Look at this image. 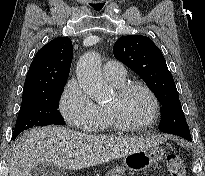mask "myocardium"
I'll return each instance as SVG.
<instances>
[{
  "instance_id": "obj_1",
  "label": "myocardium",
  "mask_w": 205,
  "mask_h": 176,
  "mask_svg": "<svg viewBox=\"0 0 205 176\" xmlns=\"http://www.w3.org/2000/svg\"><path fill=\"white\" fill-rule=\"evenodd\" d=\"M135 90H141L145 92L150 98V101L152 103L151 115L147 121L138 123V124H133V123L127 122L123 118L119 108L116 105L108 106V111L113 119L116 129L118 130H121V131L141 130V129L152 126L158 119L159 110H160L159 101H158L156 94L147 85L140 83V82L126 83L116 90V97L118 100L122 99Z\"/></svg>"
}]
</instances>
